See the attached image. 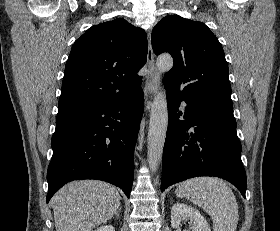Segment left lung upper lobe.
I'll return each instance as SVG.
<instances>
[{"label": "left lung upper lobe", "mask_w": 280, "mask_h": 231, "mask_svg": "<svg viewBox=\"0 0 280 231\" xmlns=\"http://www.w3.org/2000/svg\"><path fill=\"white\" fill-rule=\"evenodd\" d=\"M151 40L156 55L168 52L174 59L163 79L166 90L233 108L223 48L204 23L166 16L154 27Z\"/></svg>", "instance_id": "1"}]
</instances>
